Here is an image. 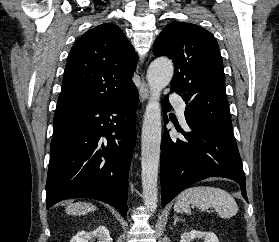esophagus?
<instances>
[{
	"label": "esophagus",
	"mask_w": 279,
	"mask_h": 242,
	"mask_svg": "<svg viewBox=\"0 0 279 242\" xmlns=\"http://www.w3.org/2000/svg\"><path fill=\"white\" fill-rule=\"evenodd\" d=\"M139 96H140L141 102L148 100L150 97L149 87L143 78H142V82L139 87Z\"/></svg>",
	"instance_id": "1"
}]
</instances>
